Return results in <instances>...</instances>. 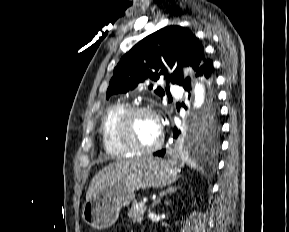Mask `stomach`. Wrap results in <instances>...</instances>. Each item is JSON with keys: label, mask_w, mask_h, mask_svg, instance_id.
Returning a JSON list of instances; mask_svg holds the SVG:
<instances>
[{"label": "stomach", "mask_w": 289, "mask_h": 232, "mask_svg": "<svg viewBox=\"0 0 289 232\" xmlns=\"http://www.w3.org/2000/svg\"><path fill=\"white\" fill-rule=\"evenodd\" d=\"M177 178L175 162L148 159L141 167L115 180L87 200L83 205V219L95 229H106L116 222L120 209L130 204L137 190L165 187Z\"/></svg>", "instance_id": "0dacf381"}]
</instances>
